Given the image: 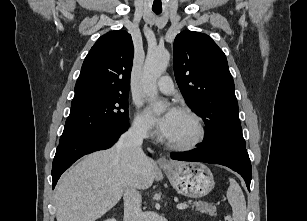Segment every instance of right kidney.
<instances>
[{"instance_id": "right-kidney-1", "label": "right kidney", "mask_w": 307, "mask_h": 221, "mask_svg": "<svg viewBox=\"0 0 307 221\" xmlns=\"http://www.w3.org/2000/svg\"><path fill=\"white\" fill-rule=\"evenodd\" d=\"M106 221H116V220L112 218V219H107Z\"/></svg>"}]
</instances>
